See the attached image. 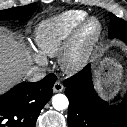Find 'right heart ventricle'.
<instances>
[{
  "instance_id": "1",
  "label": "right heart ventricle",
  "mask_w": 127,
  "mask_h": 127,
  "mask_svg": "<svg viewBox=\"0 0 127 127\" xmlns=\"http://www.w3.org/2000/svg\"><path fill=\"white\" fill-rule=\"evenodd\" d=\"M87 17L82 10H68L42 20L35 28L34 40L43 56L60 54L75 28Z\"/></svg>"
}]
</instances>
